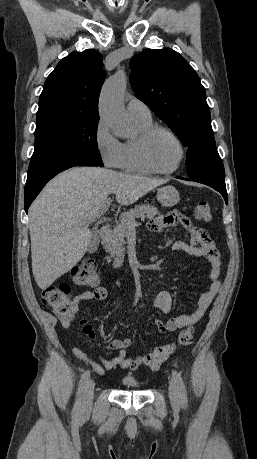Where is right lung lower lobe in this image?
Returning <instances> with one entry per match:
<instances>
[{
  "label": "right lung lower lobe",
  "mask_w": 257,
  "mask_h": 459,
  "mask_svg": "<svg viewBox=\"0 0 257 459\" xmlns=\"http://www.w3.org/2000/svg\"><path fill=\"white\" fill-rule=\"evenodd\" d=\"M74 166H101L98 162L80 154L63 153L31 159L25 185V211L46 183L58 173Z\"/></svg>",
  "instance_id": "right-lung-lower-lobe-1"
}]
</instances>
